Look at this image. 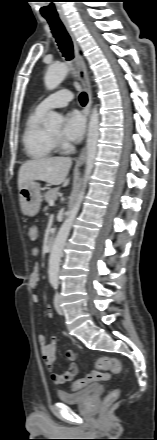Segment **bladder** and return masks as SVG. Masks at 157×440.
I'll list each match as a JSON object with an SVG mask.
<instances>
[{"label": "bladder", "instance_id": "31cf9c89", "mask_svg": "<svg viewBox=\"0 0 157 440\" xmlns=\"http://www.w3.org/2000/svg\"><path fill=\"white\" fill-rule=\"evenodd\" d=\"M98 385H90L75 392L57 391L59 401L65 404H81L86 402L96 392Z\"/></svg>", "mask_w": 157, "mask_h": 440}]
</instances>
